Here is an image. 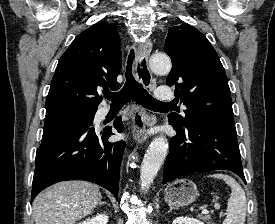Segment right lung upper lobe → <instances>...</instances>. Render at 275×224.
I'll return each instance as SVG.
<instances>
[{
	"label": "right lung upper lobe",
	"mask_w": 275,
	"mask_h": 224,
	"mask_svg": "<svg viewBox=\"0 0 275 224\" xmlns=\"http://www.w3.org/2000/svg\"><path fill=\"white\" fill-rule=\"evenodd\" d=\"M121 43L115 25L96 23L79 34L61 56L46 99V113L62 108L97 109L98 91L117 89Z\"/></svg>",
	"instance_id": "1"
}]
</instances>
